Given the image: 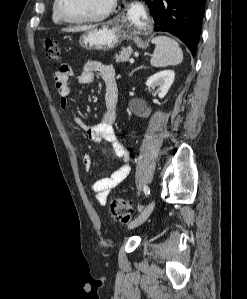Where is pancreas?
I'll return each instance as SVG.
<instances>
[{
    "label": "pancreas",
    "instance_id": "pancreas-1",
    "mask_svg": "<svg viewBox=\"0 0 247 299\" xmlns=\"http://www.w3.org/2000/svg\"><path fill=\"white\" fill-rule=\"evenodd\" d=\"M131 54V50L123 49L119 54L114 56L116 62H125Z\"/></svg>",
    "mask_w": 247,
    "mask_h": 299
}]
</instances>
